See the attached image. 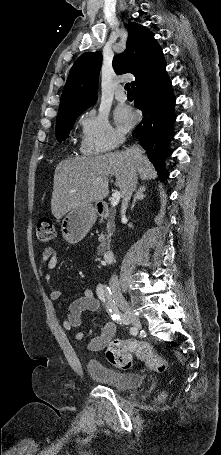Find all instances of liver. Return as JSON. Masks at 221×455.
I'll return each instance as SVG.
<instances>
[{
	"label": "liver",
	"instance_id": "obj_1",
	"mask_svg": "<svg viewBox=\"0 0 221 455\" xmlns=\"http://www.w3.org/2000/svg\"><path fill=\"white\" fill-rule=\"evenodd\" d=\"M133 174L142 180L157 177L139 145L94 158L61 161L54 174L52 214L61 219L75 207L103 200L109 193V175L116 177L115 186L123 195ZM98 177L102 179L96 181Z\"/></svg>",
	"mask_w": 221,
	"mask_h": 455
}]
</instances>
